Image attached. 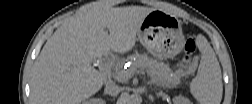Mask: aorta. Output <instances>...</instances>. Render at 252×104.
Masks as SVG:
<instances>
[{"mask_svg": "<svg viewBox=\"0 0 252 104\" xmlns=\"http://www.w3.org/2000/svg\"><path fill=\"white\" fill-rule=\"evenodd\" d=\"M126 102L129 104H139L141 102V97L138 94L127 95Z\"/></svg>", "mask_w": 252, "mask_h": 104, "instance_id": "obj_1", "label": "aorta"}]
</instances>
